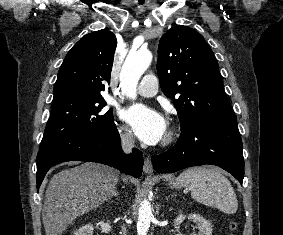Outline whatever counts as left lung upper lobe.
Returning <instances> with one entry per match:
<instances>
[{"label":"left lung upper lobe","instance_id":"1","mask_svg":"<svg viewBox=\"0 0 283 235\" xmlns=\"http://www.w3.org/2000/svg\"><path fill=\"white\" fill-rule=\"evenodd\" d=\"M157 71L162 91L173 99L181 132L235 119L214 53L194 29L177 25L161 37Z\"/></svg>","mask_w":283,"mask_h":235}]
</instances>
